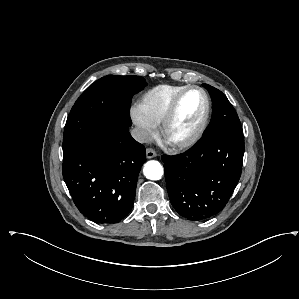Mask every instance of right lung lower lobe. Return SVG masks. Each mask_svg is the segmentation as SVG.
<instances>
[{
    "instance_id": "98d812e1",
    "label": "right lung lower lobe",
    "mask_w": 299,
    "mask_h": 299,
    "mask_svg": "<svg viewBox=\"0 0 299 299\" xmlns=\"http://www.w3.org/2000/svg\"><path fill=\"white\" fill-rule=\"evenodd\" d=\"M145 148L116 124L82 141L63 158V177L72 199L96 223H115L131 210Z\"/></svg>"
}]
</instances>
